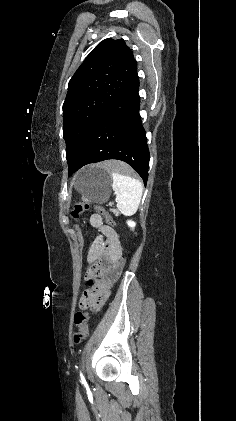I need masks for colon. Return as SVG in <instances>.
Instances as JSON below:
<instances>
[{
  "mask_svg": "<svg viewBox=\"0 0 236 421\" xmlns=\"http://www.w3.org/2000/svg\"><path fill=\"white\" fill-rule=\"evenodd\" d=\"M92 207L96 209V211H98L99 213L105 216L106 221L110 226L114 225L112 218L105 211L103 207L99 205H93L88 202L75 205L71 211V214L74 218H78L82 213H84L85 211L89 210ZM95 275H96L95 266H91L88 273V280H87V283L90 287H93L95 284V280H94ZM86 300H87V294L83 296L81 300V305L85 306L87 304ZM88 318H89V314L86 310L79 311L74 316V323L77 326V331L74 334V341L76 343L81 342L83 339H85L88 336V332H89Z\"/></svg>",
  "mask_w": 236,
  "mask_h": 421,
  "instance_id": "colon-1",
  "label": "colon"
}]
</instances>
